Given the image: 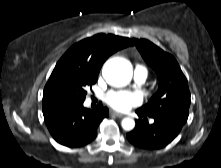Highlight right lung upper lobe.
Returning <instances> with one entry per match:
<instances>
[{
    "label": "right lung upper lobe",
    "mask_w": 221,
    "mask_h": 168,
    "mask_svg": "<svg viewBox=\"0 0 221 168\" xmlns=\"http://www.w3.org/2000/svg\"><path fill=\"white\" fill-rule=\"evenodd\" d=\"M131 45L133 43L129 38L100 33L74 44L56 66L71 63L99 72L102 64L111 54ZM48 99L44 94L43 101Z\"/></svg>",
    "instance_id": "1"
}]
</instances>
